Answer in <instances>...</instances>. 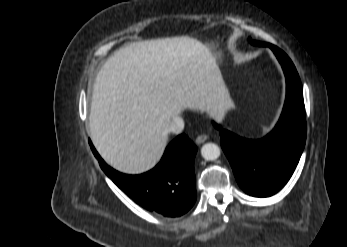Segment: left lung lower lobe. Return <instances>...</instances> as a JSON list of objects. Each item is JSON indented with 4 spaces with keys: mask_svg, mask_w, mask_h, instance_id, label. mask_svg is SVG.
Segmentation results:
<instances>
[{
    "mask_svg": "<svg viewBox=\"0 0 347 247\" xmlns=\"http://www.w3.org/2000/svg\"><path fill=\"white\" fill-rule=\"evenodd\" d=\"M286 77V100L274 129L264 138L249 140L220 130L221 146L239 186L254 197H269L282 189L299 162L306 141L305 106L299 75L290 58L269 46Z\"/></svg>",
    "mask_w": 347,
    "mask_h": 247,
    "instance_id": "obj_1",
    "label": "left lung lower lobe"
}]
</instances>
